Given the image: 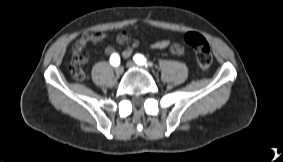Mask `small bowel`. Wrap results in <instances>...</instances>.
<instances>
[{
  "label": "small bowel",
  "instance_id": "c3829d8e",
  "mask_svg": "<svg viewBox=\"0 0 283 162\" xmlns=\"http://www.w3.org/2000/svg\"><path fill=\"white\" fill-rule=\"evenodd\" d=\"M106 38L107 34L102 31L84 33L73 45L70 71L77 68L82 69V67L88 63L89 57L82 54L83 49L88 43L96 44L105 40ZM116 41L118 44L126 46V48L123 50L124 57H129L132 54L133 49L139 44V41L137 39L131 37L125 32L119 33L116 37ZM150 48L155 50L167 49L170 51V53L175 55L185 54V50L181 45L177 43H171L167 39H162L151 43ZM105 52L107 55H112L114 54L115 50L113 47L108 46L105 49Z\"/></svg>",
  "mask_w": 283,
  "mask_h": 162
}]
</instances>
